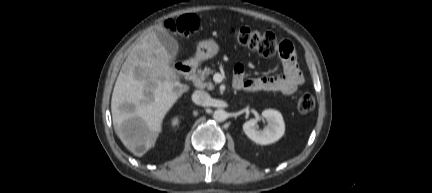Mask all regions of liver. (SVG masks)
<instances>
[{
	"label": "liver",
	"instance_id": "1",
	"mask_svg": "<svg viewBox=\"0 0 432 193\" xmlns=\"http://www.w3.org/2000/svg\"><path fill=\"white\" fill-rule=\"evenodd\" d=\"M187 90L155 31L148 33L128 55L112 93L113 125L125 147L138 157L154 147L165 115ZM125 105L131 110L123 109ZM129 120L136 122L130 135L123 132Z\"/></svg>",
	"mask_w": 432,
	"mask_h": 193
}]
</instances>
